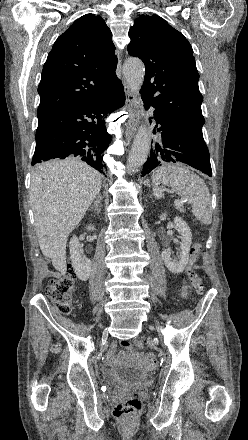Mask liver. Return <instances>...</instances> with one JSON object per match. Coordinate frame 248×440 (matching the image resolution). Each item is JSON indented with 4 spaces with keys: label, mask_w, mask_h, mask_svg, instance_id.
Returning a JSON list of instances; mask_svg holds the SVG:
<instances>
[{
    "label": "liver",
    "mask_w": 248,
    "mask_h": 440,
    "mask_svg": "<svg viewBox=\"0 0 248 440\" xmlns=\"http://www.w3.org/2000/svg\"><path fill=\"white\" fill-rule=\"evenodd\" d=\"M102 175L77 158L51 160L32 173L30 202L43 255L66 273V243L99 193Z\"/></svg>",
    "instance_id": "obj_1"
}]
</instances>
